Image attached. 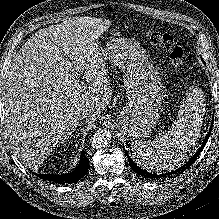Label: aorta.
I'll return each mask as SVG.
<instances>
[{
	"instance_id": "aorta-1",
	"label": "aorta",
	"mask_w": 219,
	"mask_h": 219,
	"mask_svg": "<svg viewBox=\"0 0 219 219\" xmlns=\"http://www.w3.org/2000/svg\"><path fill=\"white\" fill-rule=\"evenodd\" d=\"M112 135L107 129L97 130L91 137L90 143L94 149H103L111 142Z\"/></svg>"
}]
</instances>
